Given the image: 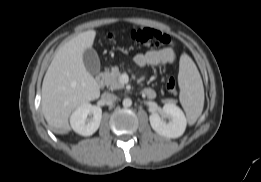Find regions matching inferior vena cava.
I'll list each match as a JSON object with an SVG mask.
<instances>
[{
	"label": "inferior vena cava",
	"mask_w": 261,
	"mask_h": 182,
	"mask_svg": "<svg viewBox=\"0 0 261 182\" xmlns=\"http://www.w3.org/2000/svg\"><path fill=\"white\" fill-rule=\"evenodd\" d=\"M102 98H103V100H105L109 103L115 102L117 100V96L112 93H104L102 95Z\"/></svg>",
	"instance_id": "obj_1"
}]
</instances>
